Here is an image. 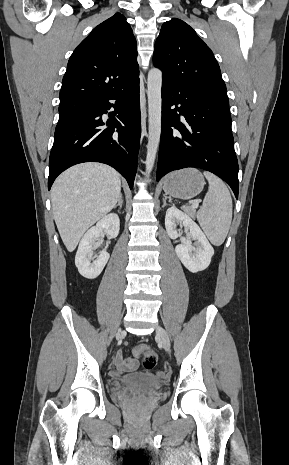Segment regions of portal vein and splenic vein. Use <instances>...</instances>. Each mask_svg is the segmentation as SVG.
I'll list each match as a JSON object with an SVG mask.
<instances>
[{
  "instance_id": "obj_1",
  "label": "portal vein and splenic vein",
  "mask_w": 289,
  "mask_h": 465,
  "mask_svg": "<svg viewBox=\"0 0 289 465\" xmlns=\"http://www.w3.org/2000/svg\"><path fill=\"white\" fill-rule=\"evenodd\" d=\"M198 206H199V202L195 201L192 203L191 208L195 209V208H198Z\"/></svg>"
}]
</instances>
